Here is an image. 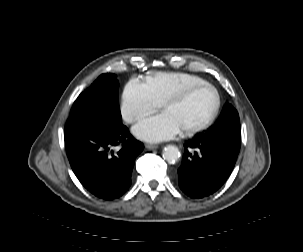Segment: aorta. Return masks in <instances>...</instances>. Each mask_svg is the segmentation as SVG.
<instances>
[{
    "label": "aorta",
    "instance_id": "762f6f07",
    "mask_svg": "<svg viewBox=\"0 0 303 252\" xmlns=\"http://www.w3.org/2000/svg\"><path fill=\"white\" fill-rule=\"evenodd\" d=\"M163 158L168 163H175L180 158V151L177 146L168 145L163 149Z\"/></svg>",
    "mask_w": 303,
    "mask_h": 252
}]
</instances>
